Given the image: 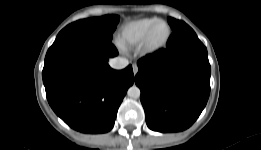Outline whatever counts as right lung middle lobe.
I'll use <instances>...</instances> for the list:
<instances>
[{
	"label": "right lung middle lobe",
	"mask_w": 261,
	"mask_h": 150,
	"mask_svg": "<svg viewBox=\"0 0 261 150\" xmlns=\"http://www.w3.org/2000/svg\"><path fill=\"white\" fill-rule=\"evenodd\" d=\"M118 22L119 17L117 15L78 20L66 26L57 35L55 42L70 38L111 41Z\"/></svg>",
	"instance_id": "dd1d6c3e"
}]
</instances>
